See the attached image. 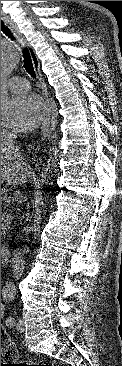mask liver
<instances>
[{
	"label": "liver",
	"instance_id": "obj_1",
	"mask_svg": "<svg viewBox=\"0 0 122 366\" xmlns=\"http://www.w3.org/2000/svg\"><path fill=\"white\" fill-rule=\"evenodd\" d=\"M31 169L22 157L19 149L9 148L1 140V183L18 185L25 183L30 176Z\"/></svg>",
	"mask_w": 122,
	"mask_h": 366
}]
</instances>
